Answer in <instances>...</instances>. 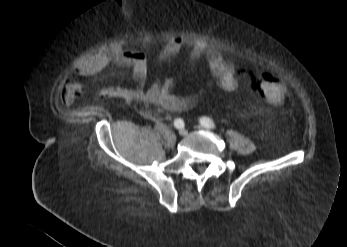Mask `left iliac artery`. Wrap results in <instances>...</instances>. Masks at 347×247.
<instances>
[{
  "instance_id": "1",
  "label": "left iliac artery",
  "mask_w": 347,
  "mask_h": 247,
  "mask_svg": "<svg viewBox=\"0 0 347 247\" xmlns=\"http://www.w3.org/2000/svg\"><path fill=\"white\" fill-rule=\"evenodd\" d=\"M200 123L202 126L208 129H214L216 127L213 120L210 119L209 117H202L200 119Z\"/></svg>"
}]
</instances>
